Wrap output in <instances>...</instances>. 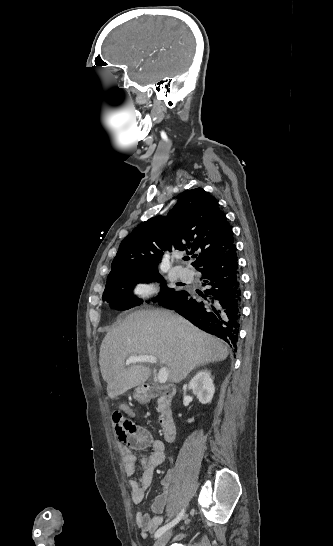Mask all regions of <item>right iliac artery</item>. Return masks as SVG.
<instances>
[{"mask_svg":"<svg viewBox=\"0 0 333 546\" xmlns=\"http://www.w3.org/2000/svg\"><path fill=\"white\" fill-rule=\"evenodd\" d=\"M183 516H184V509L179 513V515L173 521L159 528L155 533V538L160 537L164 532H166L168 529L176 525L182 519Z\"/></svg>","mask_w":333,"mask_h":546,"instance_id":"right-iliac-artery-1","label":"right iliac artery"}]
</instances>
